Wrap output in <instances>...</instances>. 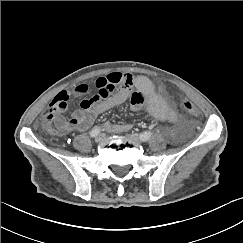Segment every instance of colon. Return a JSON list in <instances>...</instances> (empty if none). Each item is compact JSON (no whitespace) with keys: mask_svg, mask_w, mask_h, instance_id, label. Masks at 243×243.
Masks as SVG:
<instances>
[{"mask_svg":"<svg viewBox=\"0 0 243 243\" xmlns=\"http://www.w3.org/2000/svg\"><path fill=\"white\" fill-rule=\"evenodd\" d=\"M68 95L62 91L58 93L52 100L51 107L44 113L41 119V126L44 131L50 134H56L58 130L53 127V122L56 119L59 109H62L64 103L67 104ZM180 103L183 109L191 116L198 117L200 112L198 108L191 102V98L188 95H183L180 98ZM67 108V107H66Z\"/></svg>","mask_w":243,"mask_h":243,"instance_id":"5ec220e1","label":"colon"}]
</instances>
